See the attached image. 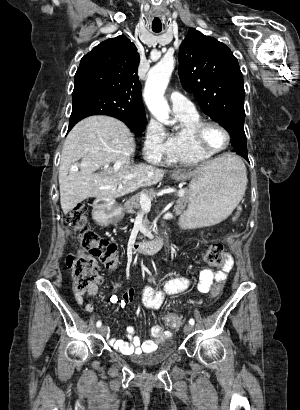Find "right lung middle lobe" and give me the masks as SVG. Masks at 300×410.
<instances>
[{"label":"right lung middle lobe","mask_w":300,"mask_h":410,"mask_svg":"<svg viewBox=\"0 0 300 410\" xmlns=\"http://www.w3.org/2000/svg\"><path fill=\"white\" fill-rule=\"evenodd\" d=\"M113 97L91 85L74 86L72 93V113L69 130L81 119L95 114H106L123 121L132 131L141 134L147 124L146 118L123 117L114 112L116 104Z\"/></svg>","instance_id":"obj_1"}]
</instances>
